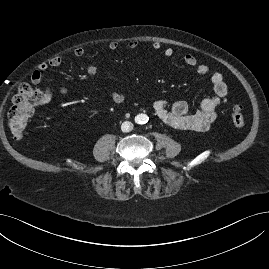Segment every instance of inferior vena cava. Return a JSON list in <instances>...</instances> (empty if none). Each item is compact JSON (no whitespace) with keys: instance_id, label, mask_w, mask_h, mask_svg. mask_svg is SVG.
<instances>
[{"instance_id":"1","label":"inferior vena cava","mask_w":269,"mask_h":269,"mask_svg":"<svg viewBox=\"0 0 269 269\" xmlns=\"http://www.w3.org/2000/svg\"><path fill=\"white\" fill-rule=\"evenodd\" d=\"M132 129H133V124H132L131 122H129V121H125V122H123L122 125H121V130H122L123 132H129V131H131Z\"/></svg>"}]
</instances>
